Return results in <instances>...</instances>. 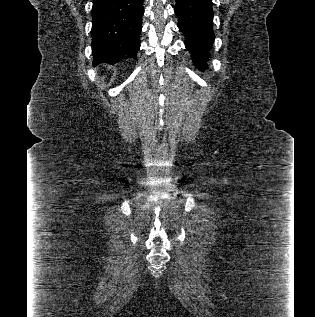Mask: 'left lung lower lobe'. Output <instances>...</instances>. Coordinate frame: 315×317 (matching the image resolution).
<instances>
[{"label": "left lung lower lobe", "instance_id": "left-lung-lower-lobe-1", "mask_svg": "<svg viewBox=\"0 0 315 317\" xmlns=\"http://www.w3.org/2000/svg\"><path fill=\"white\" fill-rule=\"evenodd\" d=\"M175 13L185 46L197 68L203 71L215 38L212 0H176Z\"/></svg>", "mask_w": 315, "mask_h": 317}]
</instances>
